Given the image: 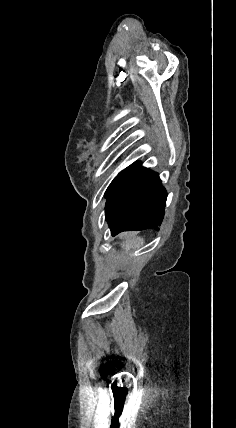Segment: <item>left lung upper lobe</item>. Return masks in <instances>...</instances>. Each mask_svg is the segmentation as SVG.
I'll return each instance as SVG.
<instances>
[{
	"label": "left lung upper lobe",
	"mask_w": 236,
	"mask_h": 428,
	"mask_svg": "<svg viewBox=\"0 0 236 428\" xmlns=\"http://www.w3.org/2000/svg\"><path fill=\"white\" fill-rule=\"evenodd\" d=\"M130 167V166H129ZM127 167L126 169H124L123 171H121L111 182V184L109 185V187L107 188L106 191H110L115 185L116 183L121 179V177L125 174V172L127 171V169L129 168Z\"/></svg>",
	"instance_id": "1"
}]
</instances>
